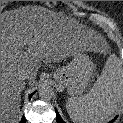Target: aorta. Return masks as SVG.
<instances>
[{
  "label": "aorta",
  "mask_w": 123,
  "mask_h": 123,
  "mask_svg": "<svg viewBox=\"0 0 123 123\" xmlns=\"http://www.w3.org/2000/svg\"><path fill=\"white\" fill-rule=\"evenodd\" d=\"M53 94H54L53 88L49 85H44L39 90V97L44 101L51 100L53 97Z\"/></svg>",
  "instance_id": "1"
}]
</instances>
